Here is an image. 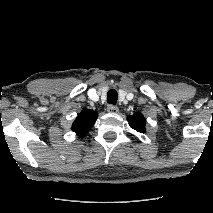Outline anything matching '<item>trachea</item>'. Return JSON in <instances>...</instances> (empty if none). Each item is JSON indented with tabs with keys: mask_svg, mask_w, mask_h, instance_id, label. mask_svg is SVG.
<instances>
[{
	"mask_svg": "<svg viewBox=\"0 0 213 213\" xmlns=\"http://www.w3.org/2000/svg\"><path fill=\"white\" fill-rule=\"evenodd\" d=\"M118 93L115 89H110L107 93V102L115 105L117 103Z\"/></svg>",
	"mask_w": 213,
	"mask_h": 213,
	"instance_id": "3493384b",
	"label": "trachea"
}]
</instances>
